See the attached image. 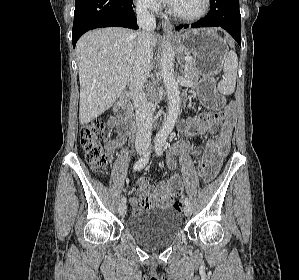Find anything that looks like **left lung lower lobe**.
<instances>
[{
	"mask_svg": "<svg viewBox=\"0 0 299 280\" xmlns=\"http://www.w3.org/2000/svg\"><path fill=\"white\" fill-rule=\"evenodd\" d=\"M211 8L208 14L200 21L191 25L192 28L199 27H222L241 46L240 23L241 15L239 0H211ZM187 28L189 25H180L176 29Z\"/></svg>",
	"mask_w": 299,
	"mask_h": 280,
	"instance_id": "obj_1",
	"label": "left lung lower lobe"
}]
</instances>
